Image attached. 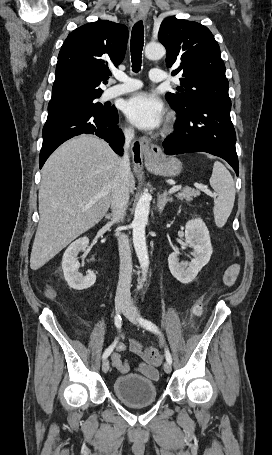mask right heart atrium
<instances>
[{
    "label": "right heart atrium",
    "instance_id": "d8ad5b80",
    "mask_svg": "<svg viewBox=\"0 0 272 455\" xmlns=\"http://www.w3.org/2000/svg\"><path fill=\"white\" fill-rule=\"evenodd\" d=\"M124 133H125V135H126L127 137H131V136L133 135V130H132L131 127H126V128L124 129Z\"/></svg>",
    "mask_w": 272,
    "mask_h": 455
}]
</instances>
